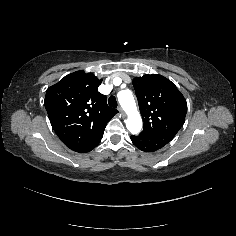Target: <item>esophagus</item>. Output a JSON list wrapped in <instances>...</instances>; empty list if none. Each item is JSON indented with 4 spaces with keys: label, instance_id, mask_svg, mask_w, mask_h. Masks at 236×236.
<instances>
[{
    "label": "esophagus",
    "instance_id": "1",
    "mask_svg": "<svg viewBox=\"0 0 236 236\" xmlns=\"http://www.w3.org/2000/svg\"><path fill=\"white\" fill-rule=\"evenodd\" d=\"M118 110H119V113H120L121 117L124 118L126 116L124 110L121 107H119Z\"/></svg>",
    "mask_w": 236,
    "mask_h": 236
}]
</instances>
